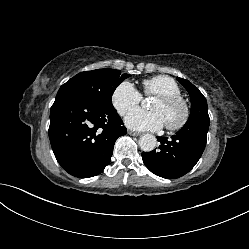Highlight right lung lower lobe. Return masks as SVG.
<instances>
[{"label":"right lung lower lobe","instance_id":"right-lung-lower-lobe-1","mask_svg":"<svg viewBox=\"0 0 249 249\" xmlns=\"http://www.w3.org/2000/svg\"><path fill=\"white\" fill-rule=\"evenodd\" d=\"M126 134L114 108H104L71 92H59L50 111L54 155L69 174L89 178L109 164L115 141Z\"/></svg>","mask_w":249,"mask_h":249}]
</instances>
